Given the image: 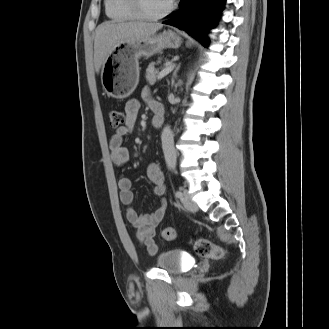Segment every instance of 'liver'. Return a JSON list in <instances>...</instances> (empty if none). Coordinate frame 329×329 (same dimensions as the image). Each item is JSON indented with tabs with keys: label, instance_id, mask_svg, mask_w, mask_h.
<instances>
[{
	"label": "liver",
	"instance_id": "obj_1",
	"mask_svg": "<svg viewBox=\"0 0 329 329\" xmlns=\"http://www.w3.org/2000/svg\"><path fill=\"white\" fill-rule=\"evenodd\" d=\"M162 28L159 23L119 22L106 21L100 24L95 31L94 65L99 73L107 57L114 47L125 40L147 37L155 34Z\"/></svg>",
	"mask_w": 329,
	"mask_h": 329
}]
</instances>
